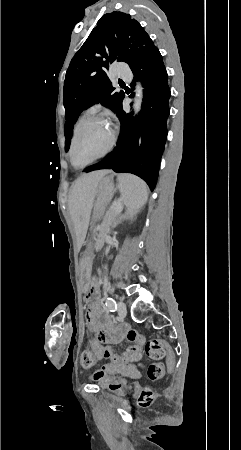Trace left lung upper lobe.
Listing matches in <instances>:
<instances>
[{"instance_id":"left-lung-upper-lobe-1","label":"left lung upper lobe","mask_w":241,"mask_h":450,"mask_svg":"<svg viewBox=\"0 0 241 450\" xmlns=\"http://www.w3.org/2000/svg\"><path fill=\"white\" fill-rule=\"evenodd\" d=\"M153 46L144 28L129 14L115 11L98 20L66 72L63 91L66 151L73 125L83 110L101 103L117 113L122 104L124 92H116L112 86L107 74L109 65L125 62L130 66Z\"/></svg>"}]
</instances>
